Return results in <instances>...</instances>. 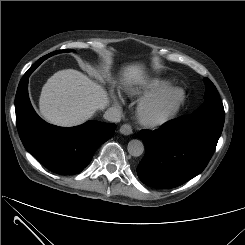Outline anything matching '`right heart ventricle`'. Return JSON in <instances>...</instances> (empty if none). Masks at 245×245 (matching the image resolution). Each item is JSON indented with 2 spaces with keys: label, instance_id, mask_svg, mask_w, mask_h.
<instances>
[{
  "label": "right heart ventricle",
  "instance_id": "1",
  "mask_svg": "<svg viewBox=\"0 0 245 245\" xmlns=\"http://www.w3.org/2000/svg\"><path fill=\"white\" fill-rule=\"evenodd\" d=\"M170 83L163 79H152L146 82L143 86L129 91V94L136 98H147L153 95H158L168 89Z\"/></svg>",
  "mask_w": 245,
  "mask_h": 245
}]
</instances>
